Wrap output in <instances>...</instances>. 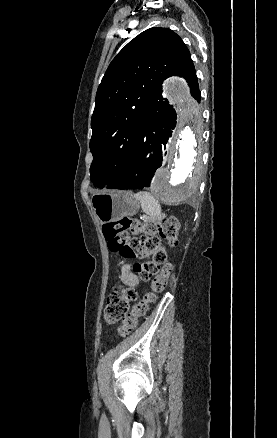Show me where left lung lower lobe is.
Here are the masks:
<instances>
[{"instance_id":"1","label":"left lung lower lobe","mask_w":277,"mask_h":438,"mask_svg":"<svg viewBox=\"0 0 277 438\" xmlns=\"http://www.w3.org/2000/svg\"><path fill=\"white\" fill-rule=\"evenodd\" d=\"M175 125V110L167 100L152 98L143 112L132 157L121 176L107 188L148 187L156 169L162 164L165 144Z\"/></svg>"}]
</instances>
